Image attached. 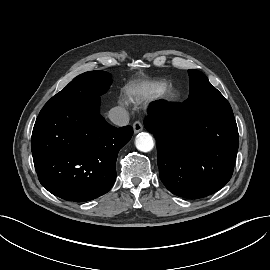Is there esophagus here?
<instances>
[{"label":"esophagus","instance_id":"obj_1","mask_svg":"<svg viewBox=\"0 0 270 270\" xmlns=\"http://www.w3.org/2000/svg\"><path fill=\"white\" fill-rule=\"evenodd\" d=\"M143 130V125L140 121H135L133 123V131L135 134L141 132Z\"/></svg>","mask_w":270,"mask_h":270}]
</instances>
